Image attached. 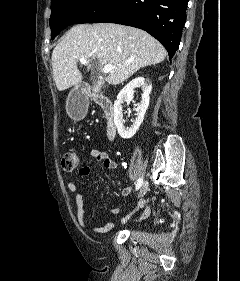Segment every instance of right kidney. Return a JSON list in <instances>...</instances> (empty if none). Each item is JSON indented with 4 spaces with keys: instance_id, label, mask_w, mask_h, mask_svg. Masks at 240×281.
<instances>
[{
    "instance_id": "right-kidney-1",
    "label": "right kidney",
    "mask_w": 240,
    "mask_h": 281,
    "mask_svg": "<svg viewBox=\"0 0 240 281\" xmlns=\"http://www.w3.org/2000/svg\"><path fill=\"white\" fill-rule=\"evenodd\" d=\"M138 87L141 88L143 93L141 103L137 106V108H135V111L137 112V117L131 127L125 128L122 104L124 102L130 103L133 100L134 89ZM151 90L152 85L150 84V82H147L144 77H138L130 81L119 92L117 100L114 103V123L117 127L118 134L123 139L132 138L139 129L140 125L142 124L146 110L149 106Z\"/></svg>"
}]
</instances>
